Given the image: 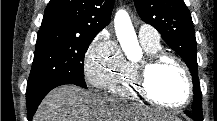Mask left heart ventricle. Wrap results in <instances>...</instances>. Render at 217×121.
I'll use <instances>...</instances> for the list:
<instances>
[{"label":"left heart ventricle","mask_w":217,"mask_h":121,"mask_svg":"<svg viewBox=\"0 0 217 121\" xmlns=\"http://www.w3.org/2000/svg\"><path fill=\"white\" fill-rule=\"evenodd\" d=\"M149 84L153 95L169 105L181 103L187 94L183 72L169 60L150 72Z\"/></svg>","instance_id":"obj_1"}]
</instances>
